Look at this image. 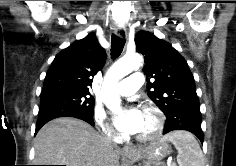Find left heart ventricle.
I'll return each mask as SVG.
<instances>
[{"mask_svg":"<svg viewBox=\"0 0 236 166\" xmlns=\"http://www.w3.org/2000/svg\"><path fill=\"white\" fill-rule=\"evenodd\" d=\"M155 118L151 113L143 112V126L137 135H144L151 132L155 127Z\"/></svg>","mask_w":236,"mask_h":166,"instance_id":"left-heart-ventricle-1","label":"left heart ventricle"}]
</instances>
